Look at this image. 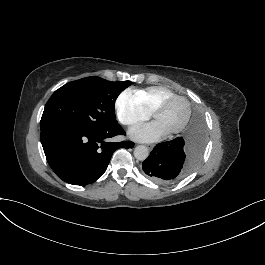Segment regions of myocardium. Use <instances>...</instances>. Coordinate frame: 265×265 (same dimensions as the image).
I'll use <instances>...</instances> for the list:
<instances>
[{"mask_svg":"<svg viewBox=\"0 0 265 265\" xmlns=\"http://www.w3.org/2000/svg\"><path fill=\"white\" fill-rule=\"evenodd\" d=\"M173 100H179L183 103L184 115H183L182 120L175 127L170 129L169 131H167L168 134L179 133L186 127V125L189 121L190 115H191V106H190V103L188 102V100L186 98H184L183 96L172 94V95L166 96L163 99L159 100L155 104V106L153 107L152 112H151V116L154 119L157 112Z\"/></svg>","mask_w":265,"mask_h":265,"instance_id":"f54148a6","label":"myocardium"}]
</instances>
